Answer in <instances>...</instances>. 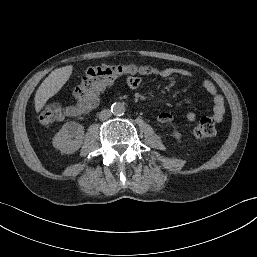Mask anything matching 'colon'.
<instances>
[{"label":"colon","instance_id":"colon-1","mask_svg":"<svg viewBox=\"0 0 257 257\" xmlns=\"http://www.w3.org/2000/svg\"><path fill=\"white\" fill-rule=\"evenodd\" d=\"M149 66L102 64L89 68L82 76L74 90L75 103L69 107L73 114L95 107L98 103L99 92L114 79L127 75L151 74ZM37 117L42 123L59 121L63 117V110L53 104L45 105L37 110ZM217 127L210 117H203L192 131L194 139H207L216 136Z\"/></svg>","mask_w":257,"mask_h":257}]
</instances>
